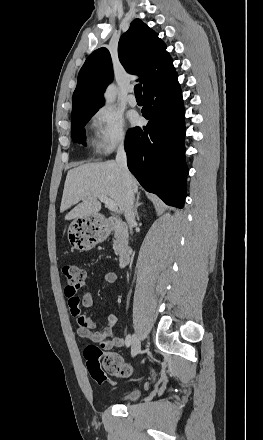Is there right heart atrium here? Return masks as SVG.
Wrapping results in <instances>:
<instances>
[{
    "label": "right heart atrium",
    "mask_w": 263,
    "mask_h": 440,
    "mask_svg": "<svg viewBox=\"0 0 263 440\" xmlns=\"http://www.w3.org/2000/svg\"><path fill=\"white\" fill-rule=\"evenodd\" d=\"M94 145L104 154H109L127 141L123 117L110 106L100 107L92 117Z\"/></svg>",
    "instance_id": "1"
}]
</instances>
